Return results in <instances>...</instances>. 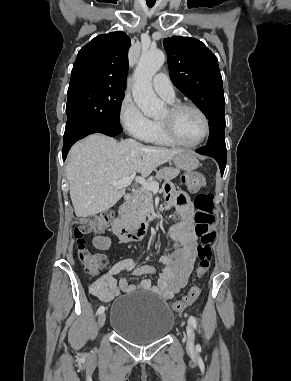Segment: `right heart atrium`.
Listing matches in <instances>:
<instances>
[{"instance_id": "obj_1", "label": "right heart atrium", "mask_w": 291, "mask_h": 381, "mask_svg": "<svg viewBox=\"0 0 291 381\" xmlns=\"http://www.w3.org/2000/svg\"><path fill=\"white\" fill-rule=\"evenodd\" d=\"M119 121L124 130L140 140H144L151 129V121L142 113L130 96H125L119 106Z\"/></svg>"}]
</instances>
